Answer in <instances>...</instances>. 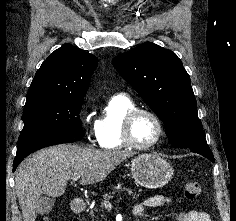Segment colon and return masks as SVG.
<instances>
[{
  "label": "colon",
  "instance_id": "5ec220e1",
  "mask_svg": "<svg viewBox=\"0 0 236 221\" xmlns=\"http://www.w3.org/2000/svg\"><path fill=\"white\" fill-rule=\"evenodd\" d=\"M200 193H201V186L199 182L194 180L186 182L184 187V194L187 199H194L198 197ZM39 221H54V220L48 217H44L41 218Z\"/></svg>",
  "mask_w": 236,
  "mask_h": 221
}]
</instances>
